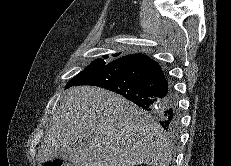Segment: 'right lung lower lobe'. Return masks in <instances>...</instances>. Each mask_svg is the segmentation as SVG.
Here are the masks:
<instances>
[{"instance_id": "right-lung-lower-lobe-1", "label": "right lung lower lobe", "mask_w": 231, "mask_h": 166, "mask_svg": "<svg viewBox=\"0 0 231 166\" xmlns=\"http://www.w3.org/2000/svg\"><path fill=\"white\" fill-rule=\"evenodd\" d=\"M77 85L99 86L116 92L147 111L156 112L160 124L176 135L180 127L177 98L160 65L146 55L120 57Z\"/></svg>"}]
</instances>
